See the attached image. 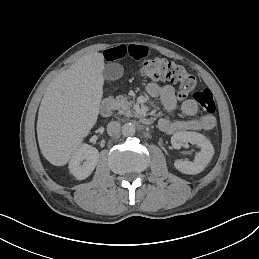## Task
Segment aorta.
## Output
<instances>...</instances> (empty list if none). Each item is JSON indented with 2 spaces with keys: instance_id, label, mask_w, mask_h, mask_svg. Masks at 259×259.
<instances>
[{
  "instance_id": "762f6f07",
  "label": "aorta",
  "mask_w": 259,
  "mask_h": 259,
  "mask_svg": "<svg viewBox=\"0 0 259 259\" xmlns=\"http://www.w3.org/2000/svg\"><path fill=\"white\" fill-rule=\"evenodd\" d=\"M135 132L136 129L132 123H126L122 126V134L126 137L133 136Z\"/></svg>"
}]
</instances>
